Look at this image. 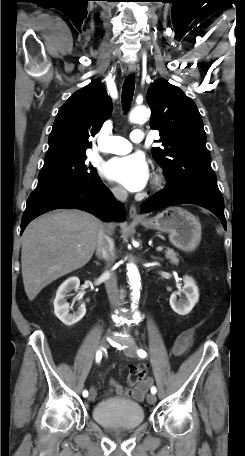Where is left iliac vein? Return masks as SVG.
<instances>
[{"label": "left iliac vein", "mask_w": 245, "mask_h": 456, "mask_svg": "<svg viewBox=\"0 0 245 456\" xmlns=\"http://www.w3.org/2000/svg\"><path fill=\"white\" fill-rule=\"evenodd\" d=\"M136 351H137V346L135 344H130L127 348L123 350L124 354L128 357L135 358L136 357ZM157 398L155 394H148L147 395V402L149 404H154L156 402Z\"/></svg>", "instance_id": "1"}]
</instances>
